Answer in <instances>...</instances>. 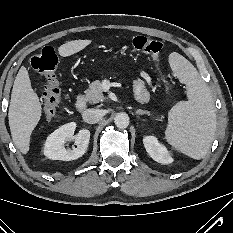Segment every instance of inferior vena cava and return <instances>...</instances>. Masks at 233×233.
<instances>
[{
  "label": "inferior vena cava",
  "instance_id": "1",
  "mask_svg": "<svg viewBox=\"0 0 233 233\" xmlns=\"http://www.w3.org/2000/svg\"><path fill=\"white\" fill-rule=\"evenodd\" d=\"M103 111L99 109H87L83 112V120L88 124H95L103 117Z\"/></svg>",
  "mask_w": 233,
  "mask_h": 233
}]
</instances>
